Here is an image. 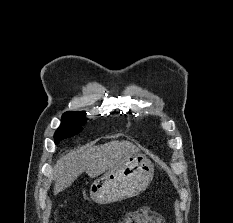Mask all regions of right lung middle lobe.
Returning <instances> with one entry per match:
<instances>
[{"label":"right lung middle lobe","mask_w":233,"mask_h":223,"mask_svg":"<svg viewBox=\"0 0 233 223\" xmlns=\"http://www.w3.org/2000/svg\"><path fill=\"white\" fill-rule=\"evenodd\" d=\"M85 120L84 112L69 111L63 114L62 124L55 132V143L78 134L83 128L79 125Z\"/></svg>","instance_id":"1"}]
</instances>
